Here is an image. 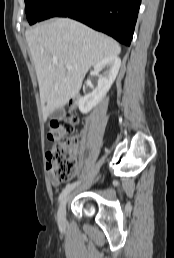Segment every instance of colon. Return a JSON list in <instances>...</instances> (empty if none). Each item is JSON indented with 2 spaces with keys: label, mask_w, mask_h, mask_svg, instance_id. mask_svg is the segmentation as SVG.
<instances>
[{
  "label": "colon",
  "mask_w": 174,
  "mask_h": 258,
  "mask_svg": "<svg viewBox=\"0 0 174 258\" xmlns=\"http://www.w3.org/2000/svg\"><path fill=\"white\" fill-rule=\"evenodd\" d=\"M76 123V116L69 113L66 118L53 120L49 125L48 138L52 147L47 152V161L58 180L72 178L77 170L75 158L77 139L73 135Z\"/></svg>",
  "instance_id": "colon-1"
}]
</instances>
